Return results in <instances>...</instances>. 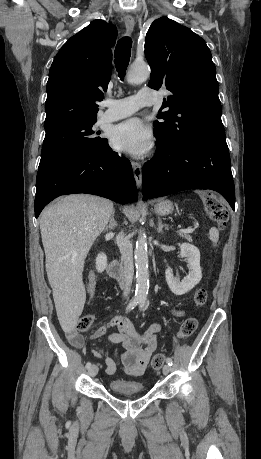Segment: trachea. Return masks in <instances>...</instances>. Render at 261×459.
<instances>
[{"label":"trachea","mask_w":261,"mask_h":459,"mask_svg":"<svg viewBox=\"0 0 261 459\" xmlns=\"http://www.w3.org/2000/svg\"><path fill=\"white\" fill-rule=\"evenodd\" d=\"M132 41L130 37H122L115 49V67L119 77L122 79L125 76L127 66L131 56Z\"/></svg>","instance_id":"3493384b"}]
</instances>
